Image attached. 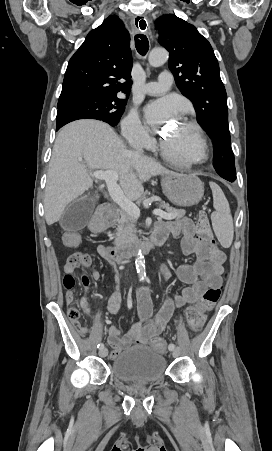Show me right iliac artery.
<instances>
[{"mask_svg": "<svg viewBox=\"0 0 272 451\" xmlns=\"http://www.w3.org/2000/svg\"><path fill=\"white\" fill-rule=\"evenodd\" d=\"M97 348H99V349L104 348V344H103V343H99V344L97 345Z\"/></svg>", "mask_w": 272, "mask_h": 451, "instance_id": "obj_1", "label": "right iliac artery"}]
</instances>
